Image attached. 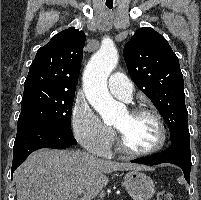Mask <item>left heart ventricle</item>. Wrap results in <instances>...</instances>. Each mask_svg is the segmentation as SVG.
Wrapping results in <instances>:
<instances>
[{
  "label": "left heart ventricle",
  "mask_w": 201,
  "mask_h": 200,
  "mask_svg": "<svg viewBox=\"0 0 201 200\" xmlns=\"http://www.w3.org/2000/svg\"><path fill=\"white\" fill-rule=\"evenodd\" d=\"M115 127L123 133L128 145L138 151L156 146L161 137L156 121L147 115L131 117L126 112Z\"/></svg>",
  "instance_id": "obj_1"
}]
</instances>
